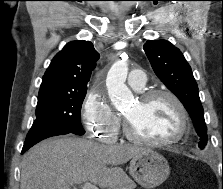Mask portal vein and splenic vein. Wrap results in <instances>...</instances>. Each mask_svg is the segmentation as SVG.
I'll return each mask as SVG.
<instances>
[{"mask_svg": "<svg viewBox=\"0 0 223 189\" xmlns=\"http://www.w3.org/2000/svg\"><path fill=\"white\" fill-rule=\"evenodd\" d=\"M81 189H99L96 185L91 184L90 182H86L80 186ZM76 189V188H74Z\"/></svg>", "mask_w": 223, "mask_h": 189, "instance_id": "18ae733b", "label": "portal vein and splenic vein"}]
</instances>
